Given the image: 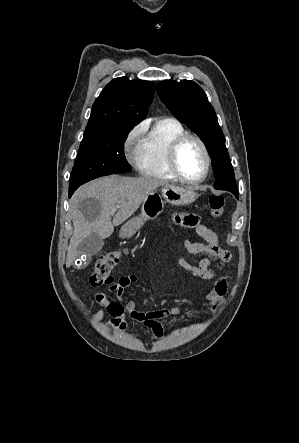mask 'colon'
Masks as SVG:
<instances>
[{
  "label": "colon",
  "mask_w": 299,
  "mask_h": 443,
  "mask_svg": "<svg viewBox=\"0 0 299 443\" xmlns=\"http://www.w3.org/2000/svg\"><path fill=\"white\" fill-rule=\"evenodd\" d=\"M210 215L218 218L223 214L224 199L220 195H212L209 199ZM123 253L120 250H110L103 253L96 261L94 270L89 277L90 285L94 287L107 285L111 282L114 271Z\"/></svg>",
  "instance_id": "5ec220e1"
}]
</instances>
